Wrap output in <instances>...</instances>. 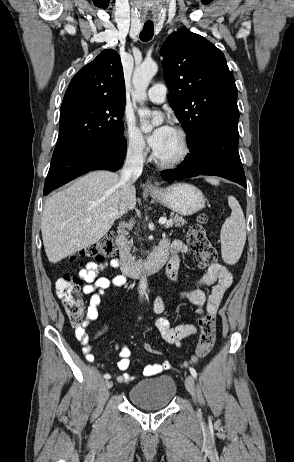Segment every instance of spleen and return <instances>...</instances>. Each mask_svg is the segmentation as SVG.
<instances>
[{
  "instance_id": "spleen-1",
  "label": "spleen",
  "mask_w": 294,
  "mask_h": 462,
  "mask_svg": "<svg viewBox=\"0 0 294 462\" xmlns=\"http://www.w3.org/2000/svg\"><path fill=\"white\" fill-rule=\"evenodd\" d=\"M212 185H219L216 178H206ZM228 204L232 210L221 228V254L227 264H235L243 251L246 242V223L242 208L235 197H228Z\"/></svg>"
}]
</instances>
